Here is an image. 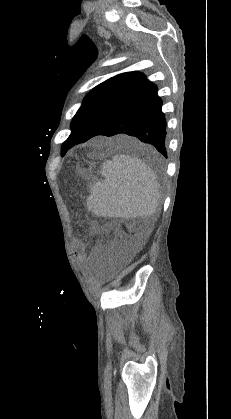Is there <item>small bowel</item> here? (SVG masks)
Masks as SVG:
<instances>
[{
  "label": "small bowel",
  "instance_id": "small-bowel-1",
  "mask_svg": "<svg viewBox=\"0 0 231 419\" xmlns=\"http://www.w3.org/2000/svg\"><path fill=\"white\" fill-rule=\"evenodd\" d=\"M75 250H76L78 253H82V252H83V250H84V247H83V245H82L80 242H77V243L75 244Z\"/></svg>",
  "mask_w": 231,
  "mask_h": 419
}]
</instances>
